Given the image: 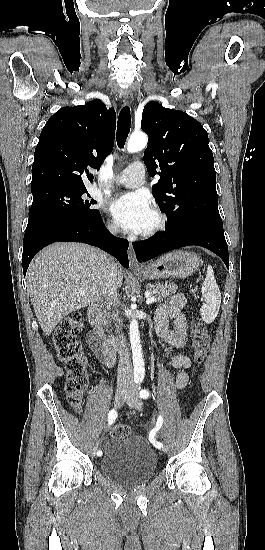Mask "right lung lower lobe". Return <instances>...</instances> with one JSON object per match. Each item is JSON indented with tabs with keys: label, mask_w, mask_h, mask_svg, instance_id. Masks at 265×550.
Returning a JSON list of instances; mask_svg holds the SVG:
<instances>
[{
	"label": "right lung lower lobe",
	"mask_w": 265,
	"mask_h": 550,
	"mask_svg": "<svg viewBox=\"0 0 265 550\" xmlns=\"http://www.w3.org/2000/svg\"><path fill=\"white\" fill-rule=\"evenodd\" d=\"M57 241L83 242L99 247L117 258L123 267H129L128 241L110 234L100 215L95 219L52 221L27 229L23 239L22 266L24 276L36 253L45 246Z\"/></svg>",
	"instance_id": "98d812e1"
}]
</instances>
